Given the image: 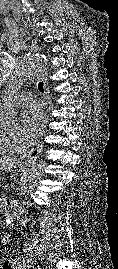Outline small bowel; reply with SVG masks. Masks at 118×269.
I'll use <instances>...</instances> for the list:
<instances>
[{
	"label": "small bowel",
	"instance_id": "obj_1",
	"mask_svg": "<svg viewBox=\"0 0 118 269\" xmlns=\"http://www.w3.org/2000/svg\"><path fill=\"white\" fill-rule=\"evenodd\" d=\"M11 242V237L10 236H6V237H4V239H3V243L4 244H8V243H10Z\"/></svg>",
	"mask_w": 118,
	"mask_h": 269
}]
</instances>
